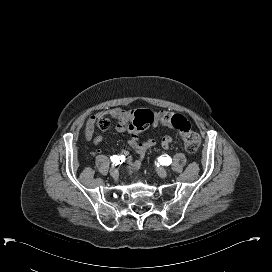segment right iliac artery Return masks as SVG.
Returning <instances> with one entry per match:
<instances>
[{
	"label": "right iliac artery",
	"instance_id": "1",
	"mask_svg": "<svg viewBox=\"0 0 272 272\" xmlns=\"http://www.w3.org/2000/svg\"><path fill=\"white\" fill-rule=\"evenodd\" d=\"M111 161L113 162V166L121 164L125 161V156H117V155H113L110 157Z\"/></svg>",
	"mask_w": 272,
	"mask_h": 272
}]
</instances>
